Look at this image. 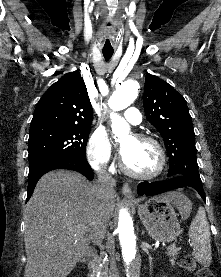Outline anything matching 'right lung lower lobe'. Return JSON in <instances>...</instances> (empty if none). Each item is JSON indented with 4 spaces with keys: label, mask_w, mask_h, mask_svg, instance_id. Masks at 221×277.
<instances>
[{
    "label": "right lung lower lobe",
    "mask_w": 221,
    "mask_h": 277,
    "mask_svg": "<svg viewBox=\"0 0 221 277\" xmlns=\"http://www.w3.org/2000/svg\"><path fill=\"white\" fill-rule=\"evenodd\" d=\"M55 169H69L77 171L81 174H83L86 178L89 180H92L94 178L93 171L86 161V159L82 158H72L66 161H62L60 163L46 166L42 169H40L35 174L28 176V190H27V200L31 197L32 192L38 182V180L47 172Z\"/></svg>",
    "instance_id": "right-lung-lower-lobe-1"
}]
</instances>
